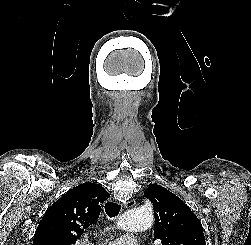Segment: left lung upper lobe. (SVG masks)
Wrapping results in <instances>:
<instances>
[{"label": "left lung upper lobe", "mask_w": 251, "mask_h": 245, "mask_svg": "<svg viewBox=\"0 0 251 245\" xmlns=\"http://www.w3.org/2000/svg\"><path fill=\"white\" fill-rule=\"evenodd\" d=\"M143 196L154 206L155 240L162 245H206L200 221L175 194L155 184Z\"/></svg>", "instance_id": "left-lung-upper-lobe-1"}]
</instances>
